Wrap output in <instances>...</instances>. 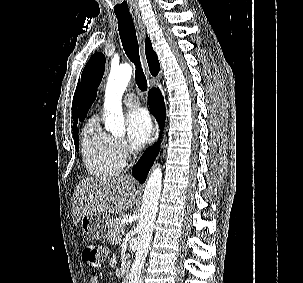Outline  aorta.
Segmentation results:
<instances>
[{
  "label": "aorta",
  "mask_w": 303,
  "mask_h": 283,
  "mask_svg": "<svg viewBox=\"0 0 303 283\" xmlns=\"http://www.w3.org/2000/svg\"><path fill=\"white\" fill-rule=\"evenodd\" d=\"M132 67L125 63L111 69L105 90V128L114 135L125 134V121L122 111V96L130 81ZM162 189V171L160 167L152 170L145 186L139 223L137 225V248L132 263L128 283H143L142 269L144 267L158 204Z\"/></svg>",
  "instance_id": "762f6f07"
}]
</instances>
